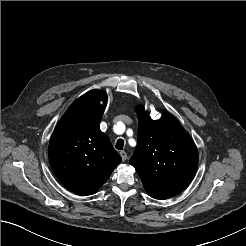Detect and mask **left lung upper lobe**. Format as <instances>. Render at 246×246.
I'll return each mask as SVG.
<instances>
[{
	"instance_id": "5c2ea615",
	"label": "left lung upper lobe",
	"mask_w": 246,
	"mask_h": 246,
	"mask_svg": "<svg viewBox=\"0 0 246 246\" xmlns=\"http://www.w3.org/2000/svg\"><path fill=\"white\" fill-rule=\"evenodd\" d=\"M138 143L130 164L147 192L172 197L191 182L198 166V151L191 136L171 114L152 120L137 108Z\"/></svg>"
}]
</instances>
